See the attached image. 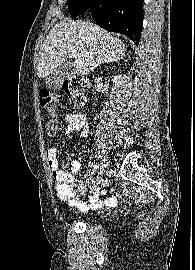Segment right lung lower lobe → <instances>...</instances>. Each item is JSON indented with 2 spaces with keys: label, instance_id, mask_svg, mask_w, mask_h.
Here are the masks:
<instances>
[{
  "label": "right lung lower lobe",
  "instance_id": "98d812e1",
  "mask_svg": "<svg viewBox=\"0 0 195 270\" xmlns=\"http://www.w3.org/2000/svg\"><path fill=\"white\" fill-rule=\"evenodd\" d=\"M144 0H88V11L99 26L128 36L136 46L143 25Z\"/></svg>",
  "mask_w": 195,
  "mask_h": 270
}]
</instances>
